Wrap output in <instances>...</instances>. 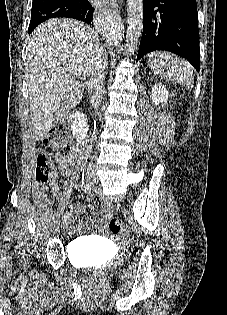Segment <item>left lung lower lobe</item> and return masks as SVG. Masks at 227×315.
Segmentation results:
<instances>
[{
    "label": "left lung lower lobe",
    "mask_w": 227,
    "mask_h": 315,
    "mask_svg": "<svg viewBox=\"0 0 227 315\" xmlns=\"http://www.w3.org/2000/svg\"><path fill=\"white\" fill-rule=\"evenodd\" d=\"M155 50L178 54L199 72L196 0H143V33L137 61Z\"/></svg>",
    "instance_id": "left-lung-lower-lobe-1"
}]
</instances>
